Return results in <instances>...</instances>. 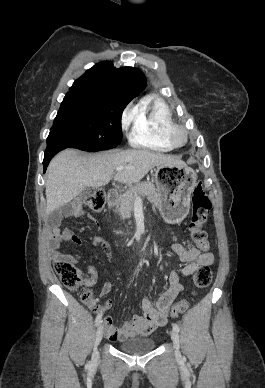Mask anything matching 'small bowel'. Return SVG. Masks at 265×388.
<instances>
[{
  "label": "small bowel",
  "instance_id": "1",
  "mask_svg": "<svg viewBox=\"0 0 265 388\" xmlns=\"http://www.w3.org/2000/svg\"><path fill=\"white\" fill-rule=\"evenodd\" d=\"M94 220L92 215L86 214L82 204L79 201L72 203L62 212L55 214L50 219V228L53 233V239L50 246L51 258L54 261L66 260L71 263H77L78 260L74 256L63 254L59 251V245L62 241H72L75 244H81L82 240L69 229L60 232V221L63 217H84ZM90 244L101 247L104 256L109 264L113 263V256L110 250L108 241L102 236H94ZM173 252L185 265L181 269L173 270L168 276L169 287L158 298L156 305L148 298L141 300L142 315H134L126 320L121 327L113 325L111 317L107 316L103 319L105 335L111 341H121L132 336H144L155 331L157 328L164 326L168 321L169 311L176 297L183 290L181 280L192 275L196 270L203 265H211L214 262V255L210 252H201L195 247H186L181 243H175L172 246ZM88 277L84 280L87 287H92L98 280V273L94 265L88 263L86 266ZM112 289V283L107 281L101 288L99 296H107ZM98 298L93 299L90 303V308L103 315L112 307V300H107L103 305H97Z\"/></svg>",
  "mask_w": 265,
  "mask_h": 388
}]
</instances>
